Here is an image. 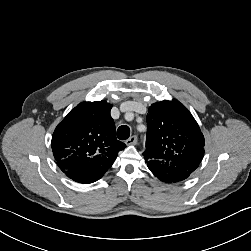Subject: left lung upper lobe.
I'll return each mask as SVG.
<instances>
[{
	"instance_id": "5c2ea615",
	"label": "left lung upper lobe",
	"mask_w": 251,
	"mask_h": 251,
	"mask_svg": "<svg viewBox=\"0 0 251 251\" xmlns=\"http://www.w3.org/2000/svg\"><path fill=\"white\" fill-rule=\"evenodd\" d=\"M148 112L144 154L175 166H198L204 156V136L187 108L173 99L152 104Z\"/></svg>"
}]
</instances>
